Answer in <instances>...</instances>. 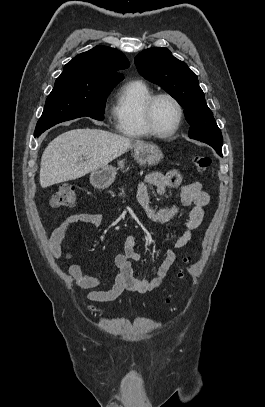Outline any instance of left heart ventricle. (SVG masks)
<instances>
[{
    "mask_svg": "<svg viewBox=\"0 0 265 407\" xmlns=\"http://www.w3.org/2000/svg\"><path fill=\"white\" fill-rule=\"evenodd\" d=\"M153 118L157 129L161 131H168L175 125L177 121V107L171 100L167 98H161L155 104Z\"/></svg>",
    "mask_w": 265,
    "mask_h": 407,
    "instance_id": "1",
    "label": "left heart ventricle"
}]
</instances>
